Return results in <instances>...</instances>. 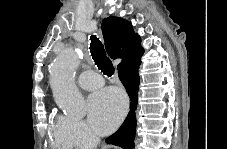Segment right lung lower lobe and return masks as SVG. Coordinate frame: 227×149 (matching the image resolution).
Returning <instances> with one entry per match:
<instances>
[{
  "label": "right lung lower lobe",
  "mask_w": 227,
  "mask_h": 149,
  "mask_svg": "<svg viewBox=\"0 0 227 149\" xmlns=\"http://www.w3.org/2000/svg\"><path fill=\"white\" fill-rule=\"evenodd\" d=\"M139 65L140 61H135L118 69L119 79L131 99L130 111L121 127L113 135L106 139L108 144L117 145L127 149L134 147L136 129L135 109L138 103Z\"/></svg>",
  "instance_id": "right-lung-lower-lobe-1"
}]
</instances>
